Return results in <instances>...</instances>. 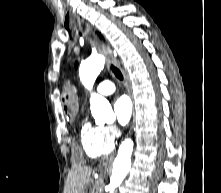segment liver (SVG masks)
<instances>
[{
	"label": "liver",
	"instance_id": "obj_1",
	"mask_svg": "<svg viewBox=\"0 0 221 193\" xmlns=\"http://www.w3.org/2000/svg\"><path fill=\"white\" fill-rule=\"evenodd\" d=\"M91 169L84 166H74L69 172L68 193H83L89 182Z\"/></svg>",
	"mask_w": 221,
	"mask_h": 193
}]
</instances>
